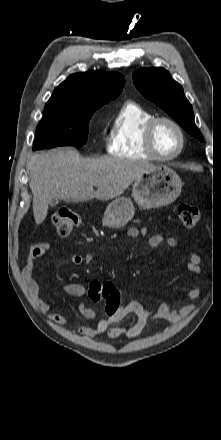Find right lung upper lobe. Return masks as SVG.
<instances>
[{
	"label": "right lung upper lobe",
	"mask_w": 221,
	"mask_h": 440,
	"mask_svg": "<svg viewBox=\"0 0 221 440\" xmlns=\"http://www.w3.org/2000/svg\"><path fill=\"white\" fill-rule=\"evenodd\" d=\"M125 79L117 72L88 71L70 75L53 92L48 104L102 106L115 99Z\"/></svg>",
	"instance_id": "1"
}]
</instances>
